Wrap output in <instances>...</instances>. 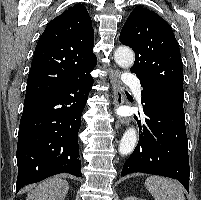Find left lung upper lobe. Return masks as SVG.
<instances>
[{"label": "left lung upper lobe", "mask_w": 201, "mask_h": 200, "mask_svg": "<svg viewBox=\"0 0 201 200\" xmlns=\"http://www.w3.org/2000/svg\"><path fill=\"white\" fill-rule=\"evenodd\" d=\"M119 40L135 52L131 72L142 87L183 85L180 49L170 25L154 11L137 6L126 20Z\"/></svg>", "instance_id": "left-lung-upper-lobe-1"}]
</instances>
